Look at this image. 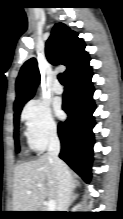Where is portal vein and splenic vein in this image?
<instances>
[{
    "instance_id": "1",
    "label": "portal vein and splenic vein",
    "mask_w": 123,
    "mask_h": 219,
    "mask_svg": "<svg viewBox=\"0 0 123 219\" xmlns=\"http://www.w3.org/2000/svg\"><path fill=\"white\" fill-rule=\"evenodd\" d=\"M41 185L38 184V187H40ZM27 194H31V191H27ZM56 208V202L53 199H50L47 203V210L48 211H54Z\"/></svg>"
}]
</instances>
